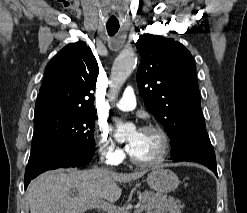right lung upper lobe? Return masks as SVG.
<instances>
[{
  "label": "right lung upper lobe",
  "instance_id": "cb5924a9",
  "mask_svg": "<svg viewBox=\"0 0 247 213\" xmlns=\"http://www.w3.org/2000/svg\"><path fill=\"white\" fill-rule=\"evenodd\" d=\"M99 68L85 42L65 46L47 64L36 101L35 114L46 110L95 111Z\"/></svg>",
  "mask_w": 247,
  "mask_h": 213
}]
</instances>
